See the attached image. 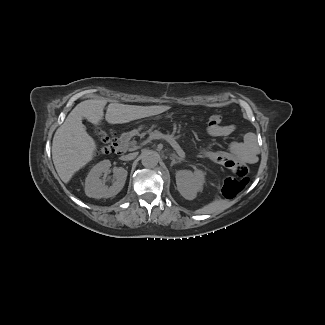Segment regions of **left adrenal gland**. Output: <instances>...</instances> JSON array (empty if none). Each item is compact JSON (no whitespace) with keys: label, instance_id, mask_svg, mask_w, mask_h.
<instances>
[{"label":"left adrenal gland","instance_id":"obj_1","mask_svg":"<svg viewBox=\"0 0 325 325\" xmlns=\"http://www.w3.org/2000/svg\"><path fill=\"white\" fill-rule=\"evenodd\" d=\"M170 159L172 160V162H171V166H173V165H175V164L180 163L181 161H183L182 158H179V157H177V156L174 155V154H172V155L170 156Z\"/></svg>","mask_w":325,"mask_h":325}]
</instances>
